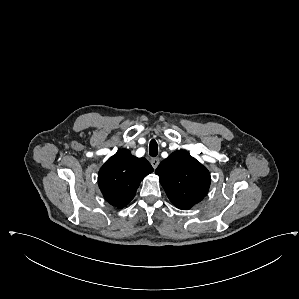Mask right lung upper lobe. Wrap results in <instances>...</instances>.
<instances>
[{"label":"right lung upper lobe","mask_w":299,"mask_h":299,"mask_svg":"<svg viewBox=\"0 0 299 299\" xmlns=\"http://www.w3.org/2000/svg\"><path fill=\"white\" fill-rule=\"evenodd\" d=\"M153 172L145 158H137L129 150H119L98 173V184L104 198L113 206L125 207L134 197L143 178Z\"/></svg>","instance_id":"cb5924a9"}]
</instances>
